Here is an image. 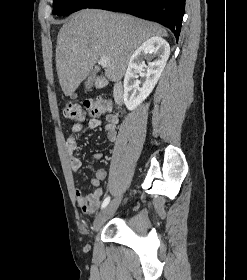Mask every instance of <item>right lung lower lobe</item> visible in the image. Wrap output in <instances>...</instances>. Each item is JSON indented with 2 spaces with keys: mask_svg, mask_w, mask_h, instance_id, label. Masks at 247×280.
<instances>
[{
  "mask_svg": "<svg viewBox=\"0 0 247 280\" xmlns=\"http://www.w3.org/2000/svg\"><path fill=\"white\" fill-rule=\"evenodd\" d=\"M88 8L115 10L159 22L168 27L178 40L185 0H98Z\"/></svg>",
  "mask_w": 247,
  "mask_h": 280,
  "instance_id": "obj_1",
  "label": "right lung lower lobe"
}]
</instances>
